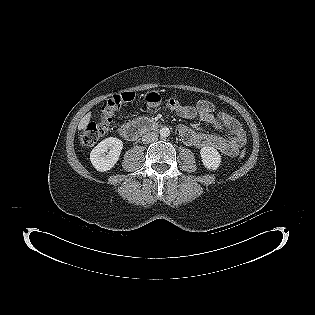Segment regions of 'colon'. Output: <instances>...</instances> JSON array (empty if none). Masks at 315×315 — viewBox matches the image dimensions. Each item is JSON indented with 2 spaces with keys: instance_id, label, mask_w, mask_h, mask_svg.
<instances>
[{
  "instance_id": "1",
  "label": "colon",
  "mask_w": 315,
  "mask_h": 315,
  "mask_svg": "<svg viewBox=\"0 0 315 315\" xmlns=\"http://www.w3.org/2000/svg\"><path fill=\"white\" fill-rule=\"evenodd\" d=\"M135 96V93L131 91H125L111 96L102 108L99 120L97 122L89 123L82 131L80 135L81 144L85 147H90L96 144L108 131L116 110L123 104L133 101ZM166 105L169 109H177L183 104L176 98H170L166 101ZM236 155L238 158L244 159L247 157L248 152L246 149L240 148L237 150Z\"/></svg>"
}]
</instances>
